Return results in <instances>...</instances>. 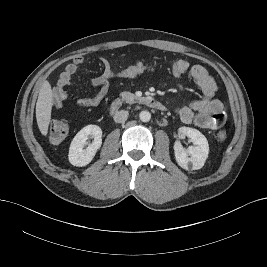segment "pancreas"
<instances>
[{"mask_svg": "<svg viewBox=\"0 0 267 267\" xmlns=\"http://www.w3.org/2000/svg\"><path fill=\"white\" fill-rule=\"evenodd\" d=\"M121 99L128 102V103H132L134 102V100L137 99L136 95H134L133 93L130 92H122L121 94Z\"/></svg>", "mask_w": 267, "mask_h": 267, "instance_id": "1", "label": "pancreas"}]
</instances>
